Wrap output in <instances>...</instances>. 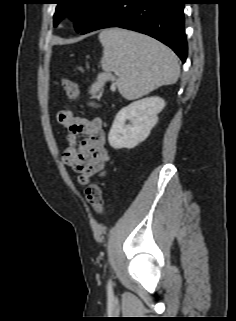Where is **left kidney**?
Listing matches in <instances>:
<instances>
[{"mask_svg":"<svg viewBox=\"0 0 236 321\" xmlns=\"http://www.w3.org/2000/svg\"><path fill=\"white\" fill-rule=\"evenodd\" d=\"M165 101L157 96L146 97L122 108L116 115L108 135V141L114 149L134 148L143 142L158 121V113ZM126 120L130 124L126 125Z\"/></svg>","mask_w":236,"mask_h":321,"instance_id":"left-kidney-1","label":"left kidney"}]
</instances>
